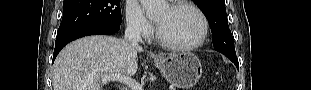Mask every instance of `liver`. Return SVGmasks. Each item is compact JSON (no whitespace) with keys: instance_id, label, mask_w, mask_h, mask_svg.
<instances>
[{"instance_id":"liver-1","label":"liver","mask_w":311,"mask_h":90,"mask_svg":"<svg viewBox=\"0 0 311 90\" xmlns=\"http://www.w3.org/2000/svg\"><path fill=\"white\" fill-rule=\"evenodd\" d=\"M138 44L112 36H87L66 47L53 66L54 90H104L106 75L132 76L138 69ZM108 82V81H107Z\"/></svg>"}]
</instances>
